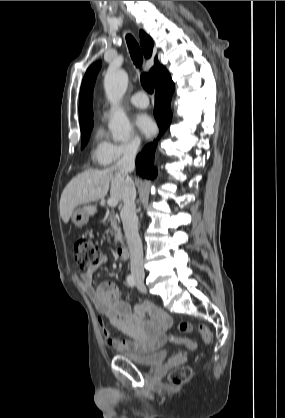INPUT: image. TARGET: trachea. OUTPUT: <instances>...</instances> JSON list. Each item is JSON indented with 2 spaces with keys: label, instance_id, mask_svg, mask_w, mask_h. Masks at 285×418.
Masks as SVG:
<instances>
[{
  "label": "trachea",
  "instance_id": "1",
  "mask_svg": "<svg viewBox=\"0 0 285 418\" xmlns=\"http://www.w3.org/2000/svg\"><path fill=\"white\" fill-rule=\"evenodd\" d=\"M126 39H127V45L129 48L130 55L136 67H141L142 62H143V57H142V53H141L138 43L135 41V39L131 35H127ZM141 84L147 92L149 93L154 92V83H153L152 77L149 74L147 73L141 74Z\"/></svg>",
  "mask_w": 285,
  "mask_h": 418
}]
</instances>
